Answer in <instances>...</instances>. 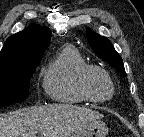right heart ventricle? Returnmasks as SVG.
I'll list each match as a JSON object with an SVG mask.
<instances>
[{
  "mask_svg": "<svg viewBox=\"0 0 144 137\" xmlns=\"http://www.w3.org/2000/svg\"><path fill=\"white\" fill-rule=\"evenodd\" d=\"M88 65L73 45L61 48L43 71V86L47 95L62 104L88 102L78 86L79 75Z\"/></svg>",
  "mask_w": 144,
  "mask_h": 137,
  "instance_id": "right-heart-ventricle-1",
  "label": "right heart ventricle"
}]
</instances>
